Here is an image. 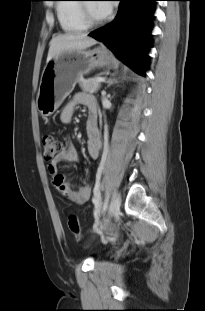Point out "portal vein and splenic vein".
Returning <instances> with one entry per match:
<instances>
[{
    "label": "portal vein and splenic vein",
    "mask_w": 205,
    "mask_h": 311,
    "mask_svg": "<svg viewBox=\"0 0 205 311\" xmlns=\"http://www.w3.org/2000/svg\"><path fill=\"white\" fill-rule=\"evenodd\" d=\"M97 82L101 83V82H104L105 81V78L104 77H98L96 79Z\"/></svg>",
    "instance_id": "portal-vein-and-splenic-vein-1"
}]
</instances>
